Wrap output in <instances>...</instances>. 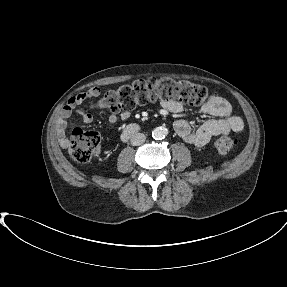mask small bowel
I'll list each match as a JSON object with an SVG mask.
<instances>
[{
	"instance_id": "c3829d8e",
	"label": "small bowel",
	"mask_w": 287,
	"mask_h": 287,
	"mask_svg": "<svg viewBox=\"0 0 287 287\" xmlns=\"http://www.w3.org/2000/svg\"><path fill=\"white\" fill-rule=\"evenodd\" d=\"M100 94L99 88H91L88 91L81 92L71 97L67 104L61 110L60 116L56 122V132L59 141L62 144L67 143L66 131L68 127L67 120L72 116L76 108L90 97ZM162 107L170 112H180L182 105L175 101H163ZM205 113L215 117L203 123L198 129L192 130L190 124L186 120H177L174 122V130L176 134L185 142L195 146L203 147L214 136L225 135L229 132H240L243 130L242 119L233 113L230 103L219 96H215L209 103L202 107ZM83 123L90 124L93 122V116L90 113L79 111ZM130 117L129 111L121 113L111 112L108 121L112 124L118 119L127 120Z\"/></svg>"
}]
</instances>
